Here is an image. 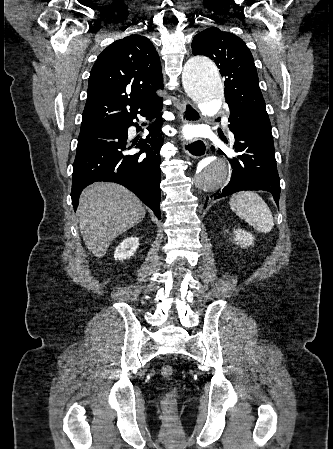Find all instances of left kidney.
<instances>
[{
  "instance_id": "5707ae66",
  "label": "left kidney",
  "mask_w": 333,
  "mask_h": 449,
  "mask_svg": "<svg viewBox=\"0 0 333 449\" xmlns=\"http://www.w3.org/2000/svg\"><path fill=\"white\" fill-rule=\"evenodd\" d=\"M235 241L241 247L246 248L254 244V237L247 231L238 228L234 229Z\"/></svg>"
}]
</instances>
